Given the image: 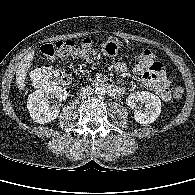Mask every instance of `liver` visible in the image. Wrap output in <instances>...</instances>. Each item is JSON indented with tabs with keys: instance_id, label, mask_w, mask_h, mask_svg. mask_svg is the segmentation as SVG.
<instances>
[{
	"instance_id": "6515ba94",
	"label": "liver",
	"mask_w": 195,
	"mask_h": 195,
	"mask_svg": "<svg viewBox=\"0 0 195 195\" xmlns=\"http://www.w3.org/2000/svg\"><path fill=\"white\" fill-rule=\"evenodd\" d=\"M34 53L30 52L23 60L19 63V66L16 71V84L19 90L25 88V78L27 76V71L31 67V61L33 59Z\"/></svg>"
}]
</instances>
